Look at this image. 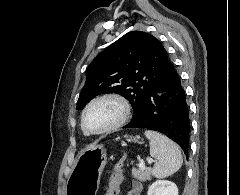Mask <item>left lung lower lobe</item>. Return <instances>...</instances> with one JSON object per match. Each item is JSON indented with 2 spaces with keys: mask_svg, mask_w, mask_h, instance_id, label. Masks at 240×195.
<instances>
[{
  "mask_svg": "<svg viewBox=\"0 0 240 195\" xmlns=\"http://www.w3.org/2000/svg\"><path fill=\"white\" fill-rule=\"evenodd\" d=\"M124 128L161 132L188 154L189 110L180 77L171 62L163 79L150 89L143 107Z\"/></svg>",
  "mask_w": 240,
  "mask_h": 195,
  "instance_id": "0a47b994",
  "label": "left lung lower lobe"
}]
</instances>
